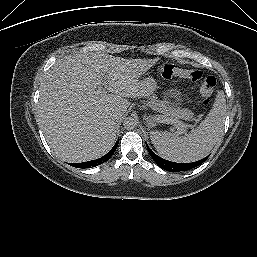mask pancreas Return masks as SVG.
<instances>
[{
  "mask_svg": "<svg viewBox=\"0 0 257 257\" xmlns=\"http://www.w3.org/2000/svg\"><path fill=\"white\" fill-rule=\"evenodd\" d=\"M147 104L154 111L164 114L161 117L171 118L174 120H191L193 118L192 111L186 108L181 109L180 107H170L169 102L157 100L155 97L150 98Z\"/></svg>",
  "mask_w": 257,
  "mask_h": 257,
  "instance_id": "pancreas-1",
  "label": "pancreas"
}]
</instances>
